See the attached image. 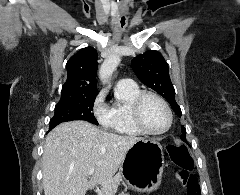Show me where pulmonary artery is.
Wrapping results in <instances>:
<instances>
[{
  "label": "pulmonary artery",
  "mask_w": 240,
  "mask_h": 195,
  "mask_svg": "<svg viewBox=\"0 0 240 195\" xmlns=\"http://www.w3.org/2000/svg\"><path fill=\"white\" fill-rule=\"evenodd\" d=\"M132 79L131 78H121V83H131Z\"/></svg>",
  "instance_id": "obj_1"
}]
</instances>
